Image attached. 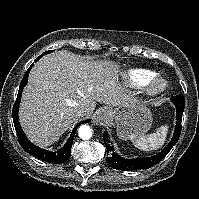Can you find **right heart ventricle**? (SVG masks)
Masks as SVG:
<instances>
[{
	"instance_id": "e07e8e85",
	"label": "right heart ventricle",
	"mask_w": 199,
	"mask_h": 199,
	"mask_svg": "<svg viewBox=\"0 0 199 199\" xmlns=\"http://www.w3.org/2000/svg\"><path fill=\"white\" fill-rule=\"evenodd\" d=\"M156 73L147 69H132L127 73V79L133 83L145 85L148 84Z\"/></svg>"
}]
</instances>
